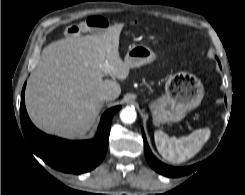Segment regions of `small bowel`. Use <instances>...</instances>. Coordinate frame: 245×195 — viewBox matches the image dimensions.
<instances>
[{"label": "small bowel", "instance_id": "obj_1", "mask_svg": "<svg viewBox=\"0 0 245 195\" xmlns=\"http://www.w3.org/2000/svg\"><path fill=\"white\" fill-rule=\"evenodd\" d=\"M109 23L106 18L100 15H90L84 21L70 25L66 28L67 36L74 37L86 32H100L106 30Z\"/></svg>", "mask_w": 245, "mask_h": 195}]
</instances>
